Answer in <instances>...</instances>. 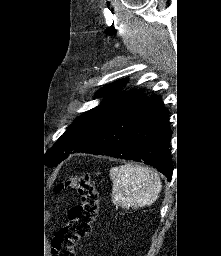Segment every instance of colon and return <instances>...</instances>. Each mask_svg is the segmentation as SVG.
<instances>
[{
    "label": "colon",
    "mask_w": 221,
    "mask_h": 256,
    "mask_svg": "<svg viewBox=\"0 0 221 256\" xmlns=\"http://www.w3.org/2000/svg\"><path fill=\"white\" fill-rule=\"evenodd\" d=\"M63 189L77 191L81 202L70 210L68 223L55 234L53 256H75L76 244L92 230L99 208V194L86 174L71 176L56 188L57 191Z\"/></svg>",
    "instance_id": "obj_1"
}]
</instances>
